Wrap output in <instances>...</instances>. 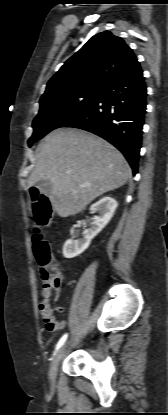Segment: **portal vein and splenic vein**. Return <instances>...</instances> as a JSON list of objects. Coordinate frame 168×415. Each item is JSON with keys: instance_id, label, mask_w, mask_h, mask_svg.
<instances>
[{"instance_id": "obj_1", "label": "portal vein and splenic vein", "mask_w": 168, "mask_h": 415, "mask_svg": "<svg viewBox=\"0 0 168 415\" xmlns=\"http://www.w3.org/2000/svg\"><path fill=\"white\" fill-rule=\"evenodd\" d=\"M83 186H90V185L88 184V185H83Z\"/></svg>"}]
</instances>
